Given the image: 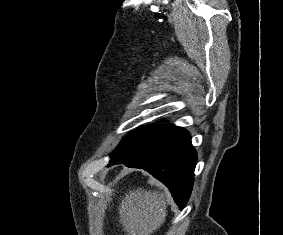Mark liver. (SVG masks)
I'll list each match as a JSON object with an SVG mask.
<instances>
[{"label":"liver","mask_w":283,"mask_h":235,"mask_svg":"<svg viewBox=\"0 0 283 235\" xmlns=\"http://www.w3.org/2000/svg\"><path fill=\"white\" fill-rule=\"evenodd\" d=\"M171 200L167 189L130 191L119 206V221L124 231L127 235H151L165 222Z\"/></svg>","instance_id":"liver-1"}]
</instances>
